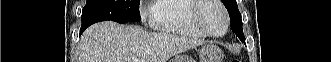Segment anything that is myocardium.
I'll return each instance as SVG.
<instances>
[{"label":"myocardium","instance_id":"f54148a6","mask_svg":"<svg viewBox=\"0 0 331 62\" xmlns=\"http://www.w3.org/2000/svg\"><path fill=\"white\" fill-rule=\"evenodd\" d=\"M208 5H215L217 6L223 15L225 27L222 33L214 34L204 25L201 19V12L208 6ZM190 20L193 26L199 30L205 36H209L212 38H221L223 37L229 30L230 26V19L228 12L221 1L219 0H194L190 11Z\"/></svg>","mask_w":331,"mask_h":62}]
</instances>
